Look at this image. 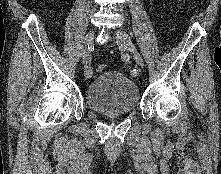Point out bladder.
Returning <instances> with one entry per match:
<instances>
[{
  "label": "bladder",
  "instance_id": "bladder-1",
  "mask_svg": "<svg viewBox=\"0 0 221 174\" xmlns=\"http://www.w3.org/2000/svg\"><path fill=\"white\" fill-rule=\"evenodd\" d=\"M87 106L101 114H128L139 105L137 84L118 71H109L95 77L85 91Z\"/></svg>",
  "mask_w": 221,
  "mask_h": 174
}]
</instances>
